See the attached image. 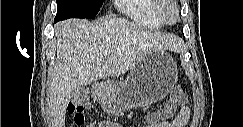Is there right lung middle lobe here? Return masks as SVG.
Instances as JSON below:
<instances>
[{
	"label": "right lung middle lobe",
	"instance_id": "dd1d6c3e",
	"mask_svg": "<svg viewBox=\"0 0 243 127\" xmlns=\"http://www.w3.org/2000/svg\"><path fill=\"white\" fill-rule=\"evenodd\" d=\"M55 22L68 18L93 19L100 10L103 0H56Z\"/></svg>",
	"mask_w": 243,
	"mask_h": 127
}]
</instances>
